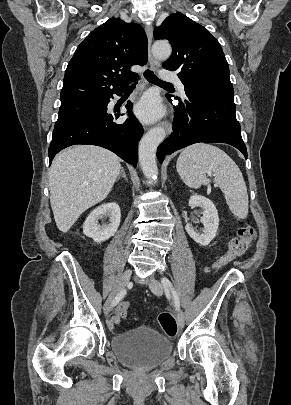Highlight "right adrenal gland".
<instances>
[{"label":"right adrenal gland","instance_id":"1","mask_svg":"<svg viewBox=\"0 0 291 405\" xmlns=\"http://www.w3.org/2000/svg\"><path fill=\"white\" fill-rule=\"evenodd\" d=\"M121 176H122L126 181H128L127 176H126V173H125L123 167H121V172H120V174H119L117 180H119V179L121 178Z\"/></svg>","mask_w":291,"mask_h":405}]
</instances>
